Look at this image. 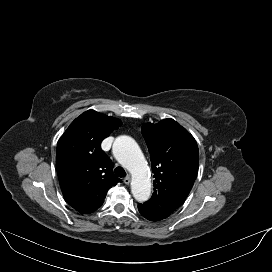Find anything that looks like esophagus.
I'll return each mask as SVG.
<instances>
[{"instance_id":"esophagus-1","label":"esophagus","mask_w":272,"mask_h":272,"mask_svg":"<svg viewBox=\"0 0 272 272\" xmlns=\"http://www.w3.org/2000/svg\"><path fill=\"white\" fill-rule=\"evenodd\" d=\"M123 181H124L125 184H129L130 181H131L130 175L126 176Z\"/></svg>"}]
</instances>
